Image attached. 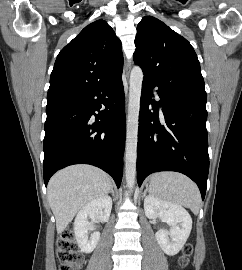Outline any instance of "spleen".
Here are the masks:
<instances>
[{"instance_id": "spleen-1", "label": "spleen", "mask_w": 242, "mask_h": 270, "mask_svg": "<svg viewBox=\"0 0 242 270\" xmlns=\"http://www.w3.org/2000/svg\"><path fill=\"white\" fill-rule=\"evenodd\" d=\"M150 193L156 198L182 205L198 214L201 207V195L197 185L183 174L159 172L151 177Z\"/></svg>"}]
</instances>
